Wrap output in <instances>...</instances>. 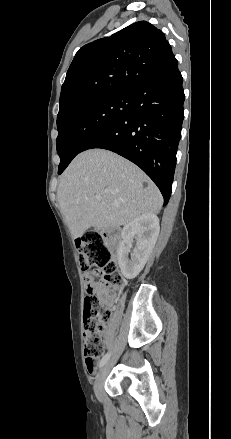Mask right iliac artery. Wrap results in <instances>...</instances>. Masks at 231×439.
<instances>
[{"label": "right iliac artery", "instance_id": "right-iliac-artery-1", "mask_svg": "<svg viewBox=\"0 0 231 439\" xmlns=\"http://www.w3.org/2000/svg\"><path fill=\"white\" fill-rule=\"evenodd\" d=\"M110 354L111 353H107V354H105L104 356H103V358L101 359V361H100V363H99V367L101 368L102 366H104L106 363H107V361H108V359H109V357H110Z\"/></svg>", "mask_w": 231, "mask_h": 439}]
</instances>
